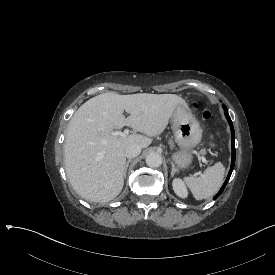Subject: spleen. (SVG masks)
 Segmentation results:
<instances>
[{"instance_id":"1","label":"spleen","mask_w":275,"mask_h":275,"mask_svg":"<svg viewBox=\"0 0 275 275\" xmlns=\"http://www.w3.org/2000/svg\"><path fill=\"white\" fill-rule=\"evenodd\" d=\"M225 167L221 162L208 167L200 177H186L185 182L196 200L214 196L223 184Z\"/></svg>"}]
</instances>
